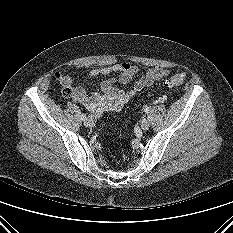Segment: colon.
I'll return each mask as SVG.
<instances>
[{
	"label": "colon",
	"mask_w": 233,
	"mask_h": 233,
	"mask_svg": "<svg viewBox=\"0 0 233 233\" xmlns=\"http://www.w3.org/2000/svg\"><path fill=\"white\" fill-rule=\"evenodd\" d=\"M184 82V75L182 74H175L166 80L165 85L168 87H177L180 86ZM71 90L69 87L65 86V94L70 95Z\"/></svg>",
	"instance_id": "obj_1"
}]
</instances>
